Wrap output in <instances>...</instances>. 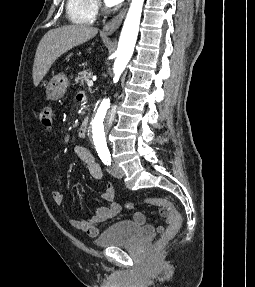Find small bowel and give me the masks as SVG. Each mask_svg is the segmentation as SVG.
I'll use <instances>...</instances> for the list:
<instances>
[{
  "label": "small bowel",
  "instance_id": "small-bowel-1",
  "mask_svg": "<svg viewBox=\"0 0 255 287\" xmlns=\"http://www.w3.org/2000/svg\"><path fill=\"white\" fill-rule=\"evenodd\" d=\"M73 152L78 159L86 164L90 176L95 181H100L103 176L102 169L95 161V158L89 149L83 145H74ZM101 197L107 203L106 206L99 207L90 218H77L71 220V225L73 227L86 232L91 237H95L99 234L98 224L115 217L121 211V206L114 200V188L111 184L105 185ZM52 199L55 204H62L63 193L59 190L53 191ZM161 215L164 217L166 224H170L171 217L169 211L163 209L161 210ZM133 222L144 227L149 233H162L165 230V227L162 225L153 226L147 224L145 214L140 211L133 214Z\"/></svg>",
  "mask_w": 255,
  "mask_h": 287
}]
</instances>
